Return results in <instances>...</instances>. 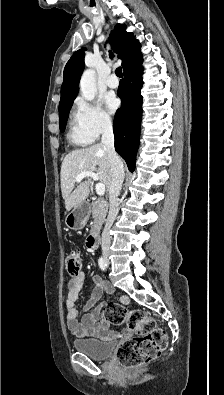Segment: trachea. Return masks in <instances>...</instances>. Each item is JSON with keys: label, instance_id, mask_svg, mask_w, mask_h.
<instances>
[{"label": "trachea", "instance_id": "trachea-1", "mask_svg": "<svg viewBox=\"0 0 224 395\" xmlns=\"http://www.w3.org/2000/svg\"><path fill=\"white\" fill-rule=\"evenodd\" d=\"M110 58H113L112 53H110ZM115 73H116V75H117L118 77H123L121 67H118V68L115 70Z\"/></svg>", "mask_w": 224, "mask_h": 395}]
</instances>
